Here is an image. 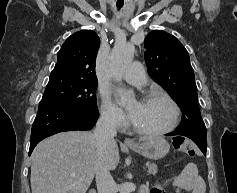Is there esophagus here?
I'll list each match as a JSON object with an SVG mask.
<instances>
[{
    "label": "esophagus",
    "instance_id": "esophagus-1",
    "mask_svg": "<svg viewBox=\"0 0 237 193\" xmlns=\"http://www.w3.org/2000/svg\"><path fill=\"white\" fill-rule=\"evenodd\" d=\"M124 143H125L126 145H132V144H134V142H133L132 140H130V139H125V140H124Z\"/></svg>",
    "mask_w": 237,
    "mask_h": 193
}]
</instances>
